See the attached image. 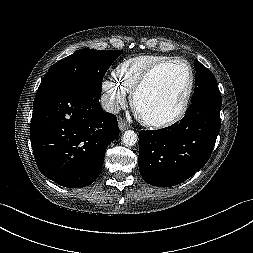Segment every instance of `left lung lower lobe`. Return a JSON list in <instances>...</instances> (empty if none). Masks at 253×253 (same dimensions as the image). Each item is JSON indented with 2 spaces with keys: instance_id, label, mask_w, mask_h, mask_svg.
I'll return each instance as SVG.
<instances>
[{
  "instance_id": "obj_1",
  "label": "left lung lower lobe",
  "mask_w": 253,
  "mask_h": 253,
  "mask_svg": "<svg viewBox=\"0 0 253 253\" xmlns=\"http://www.w3.org/2000/svg\"><path fill=\"white\" fill-rule=\"evenodd\" d=\"M222 99L192 102L184 118L159 130L140 131L139 170L149 184L177 185L208 161L220 130Z\"/></svg>"
}]
</instances>
